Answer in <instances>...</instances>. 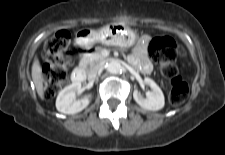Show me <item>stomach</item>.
<instances>
[{
    "label": "stomach",
    "instance_id": "stomach-1",
    "mask_svg": "<svg viewBox=\"0 0 225 155\" xmlns=\"http://www.w3.org/2000/svg\"><path fill=\"white\" fill-rule=\"evenodd\" d=\"M136 34L123 23H112L104 26L99 31L88 29L80 30L77 33L76 41L83 47H90L95 42L105 45L130 47L136 41Z\"/></svg>",
    "mask_w": 225,
    "mask_h": 155
}]
</instances>
